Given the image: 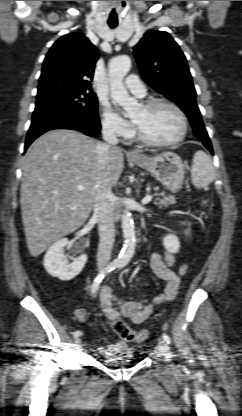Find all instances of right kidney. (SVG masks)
Instances as JSON below:
<instances>
[{
  "label": "right kidney",
  "instance_id": "ca27d5eb",
  "mask_svg": "<svg viewBox=\"0 0 242 416\" xmlns=\"http://www.w3.org/2000/svg\"><path fill=\"white\" fill-rule=\"evenodd\" d=\"M67 244V238L55 242L46 252L43 263L46 271L51 276L57 277L62 281H68L76 277L82 271L87 261L86 254L68 259L64 254V247Z\"/></svg>",
  "mask_w": 242,
  "mask_h": 416
}]
</instances>
